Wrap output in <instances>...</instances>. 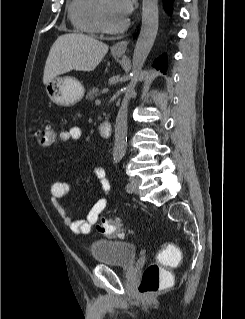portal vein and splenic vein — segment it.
Instances as JSON below:
<instances>
[{
	"mask_svg": "<svg viewBox=\"0 0 245 319\" xmlns=\"http://www.w3.org/2000/svg\"><path fill=\"white\" fill-rule=\"evenodd\" d=\"M95 103H96V104H100L101 101H100L99 99H97V100L95 101Z\"/></svg>",
	"mask_w": 245,
	"mask_h": 319,
	"instance_id": "18ae733b",
	"label": "portal vein and splenic vein"
}]
</instances>
